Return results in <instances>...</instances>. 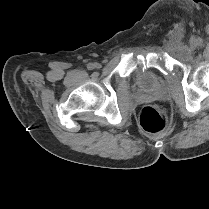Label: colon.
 Returning <instances> with one entry per match:
<instances>
[{"instance_id": "obj_1", "label": "colon", "mask_w": 209, "mask_h": 209, "mask_svg": "<svg viewBox=\"0 0 209 209\" xmlns=\"http://www.w3.org/2000/svg\"><path fill=\"white\" fill-rule=\"evenodd\" d=\"M168 114L159 106L145 107L140 113V124L142 128L150 133L164 131L168 127Z\"/></svg>"}]
</instances>
